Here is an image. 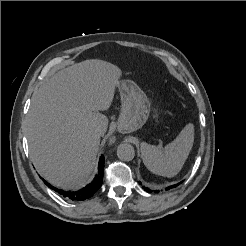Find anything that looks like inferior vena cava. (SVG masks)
Instances as JSON below:
<instances>
[{
    "mask_svg": "<svg viewBox=\"0 0 246 246\" xmlns=\"http://www.w3.org/2000/svg\"><path fill=\"white\" fill-rule=\"evenodd\" d=\"M94 133L97 135V136H101L103 134V130L100 128V127H96L94 129Z\"/></svg>",
    "mask_w": 246,
    "mask_h": 246,
    "instance_id": "obj_1",
    "label": "inferior vena cava"
}]
</instances>
